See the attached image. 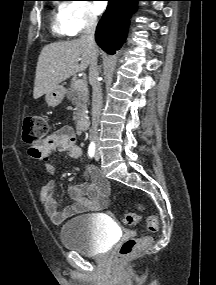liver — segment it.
I'll list each match as a JSON object with an SVG mask.
<instances>
[{"instance_id": "obj_1", "label": "liver", "mask_w": 216, "mask_h": 285, "mask_svg": "<svg viewBox=\"0 0 216 285\" xmlns=\"http://www.w3.org/2000/svg\"><path fill=\"white\" fill-rule=\"evenodd\" d=\"M90 57L91 49L81 39L46 45L37 62L33 98H40L62 81L84 71L90 64Z\"/></svg>"}]
</instances>
